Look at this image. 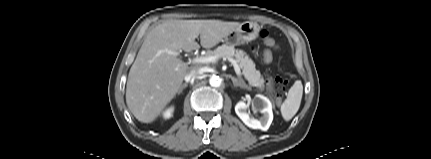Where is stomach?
<instances>
[{
  "mask_svg": "<svg viewBox=\"0 0 431 159\" xmlns=\"http://www.w3.org/2000/svg\"><path fill=\"white\" fill-rule=\"evenodd\" d=\"M260 26L255 22L246 21L232 30L224 41L230 46H236L252 41L258 37Z\"/></svg>",
  "mask_w": 431,
  "mask_h": 159,
  "instance_id": "0dacf381",
  "label": "stomach"
}]
</instances>
